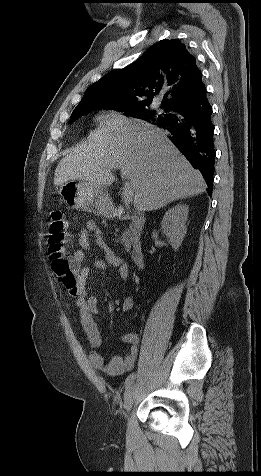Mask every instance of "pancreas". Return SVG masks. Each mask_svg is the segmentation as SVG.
Listing matches in <instances>:
<instances>
[{
    "label": "pancreas",
    "instance_id": "1",
    "mask_svg": "<svg viewBox=\"0 0 261 476\" xmlns=\"http://www.w3.org/2000/svg\"><path fill=\"white\" fill-rule=\"evenodd\" d=\"M135 241H136V233L133 228V224H129V229H126L122 233L121 243L125 246L127 250H130L131 246L135 243Z\"/></svg>",
    "mask_w": 261,
    "mask_h": 476
}]
</instances>
